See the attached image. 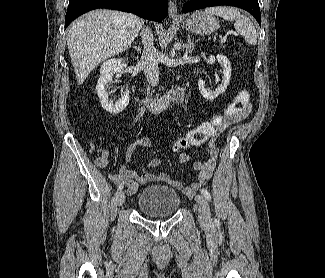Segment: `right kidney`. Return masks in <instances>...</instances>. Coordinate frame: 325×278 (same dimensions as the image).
<instances>
[{
    "label": "right kidney",
    "instance_id": "right-kidney-1",
    "mask_svg": "<svg viewBox=\"0 0 325 278\" xmlns=\"http://www.w3.org/2000/svg\"><path fill=\"white\" fill-rule=\"evenodd\" d=\"M126 63L122 58L109 59L101 65L100 77L98 79L96 90L103 109L111 114H118L123 111L129 103V91L126 89L121 98L115 102L109 99L107 92L108 83L113 82V76L121 77Z\"/></svg>",
    "mask_w": 325,
    "mask_h": 278
}]
</instances>
